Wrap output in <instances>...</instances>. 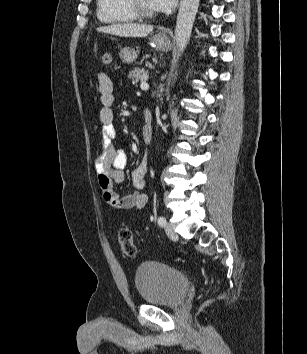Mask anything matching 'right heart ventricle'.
<instances>
[{"label": "right heart ventricle", "mask_w": 307, "mask_h": 354, "mask_svg": "<svg viewBox=\"0 0 307 354\" xmlns=\"http://www.w3.org/2000/svg\"><path fill=\"white\" fill-rule=\"evenodd\" d=\"M97 17L103 23H122L137 20L128 0H97Z\"/></svg>", "instance_id": "obj_1"}]
</instances>
